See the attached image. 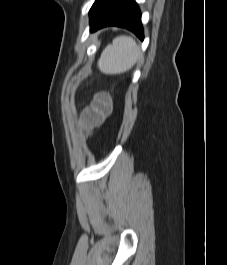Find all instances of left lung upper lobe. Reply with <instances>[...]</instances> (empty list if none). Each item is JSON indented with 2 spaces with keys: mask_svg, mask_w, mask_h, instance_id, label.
I'll list each match as a JSON object with an SVG mask.
<instances>
[{
  "mask_svg": "<svg viewBox=\"0 0 227 265\" xmlns=\"http://www.w3.org/2000/svg\"><path fill=\"white\" fill-rule=\"evenodd\" d=\"M106 0H96L90 9L89 14L91 15L95 10H97Z\"/></svg>",
  "mask_w": 227,
  "mask_h": 265,
  "instance_id": "1",
  "label": "left lung upper lobe"
}]
</instances>
